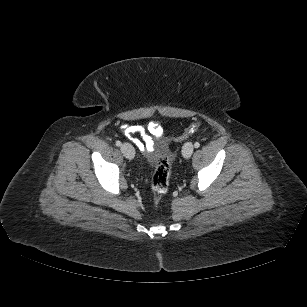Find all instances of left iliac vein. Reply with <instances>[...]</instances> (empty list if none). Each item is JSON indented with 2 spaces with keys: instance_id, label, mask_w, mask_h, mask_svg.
<instances>
[{
  "instance_id": "4c4485c4",
  "label": "left iliac vein",
  "mask_w": 307,
  "mask_h": 307,
  "mask_svg": "<svg viewBox=\"0 0 307 307\" xmlns=\"http://www.w3.org/2000/svg\"><path fill=\"white\" fill-rule=\"evenodd\" d=\"M194 151V146L191 142H187L184 144L183 148H182V154L183 157L186 159H189L191 157V155L193 154Z\"/></svg>"
}]
</instances>
